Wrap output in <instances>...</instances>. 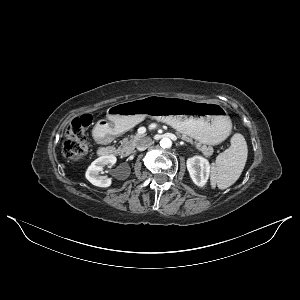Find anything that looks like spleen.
Segmentation results:
<instances>
[{
  "mask_svg": "<svg viewBox=\"0 0 300 300\" xmlns=\"http://www.w3.org/2000/svg\"><path fill=\"white\" fill-rule=\"evenodd\" d=\"M248 148L243 135L236 133L231 138V146L219 154L211 168L210 183L224 190L240 177L247 160Z\"/></svg>",
  "mask_w": 300,
  "mask_h": 300,
  "instance_id": "spleen-1",
  "label": "spleen"
}]
</instances>
